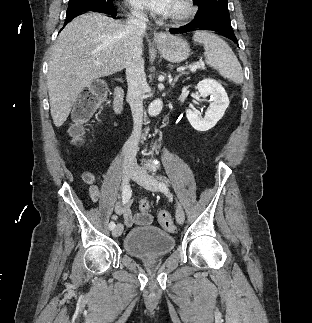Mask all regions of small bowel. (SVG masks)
<instances>
[{
	"mask_svg": "<svg viewBox=\"0 0 312 323\" xmlns=\"http://www.w3.org/2000/svg\"><path fill=\"white\" fill-rule=\"evenodd\" d=\"M84 183L87 184L89 194L92 200L97 201L100 198V188L97 182L96 175L90 171H85L82 174ZM132 202L121 205L118 204L115 207L114 219L118 216H122L124 224L127 227L148 225L152 222V217L149 213H133L131 210Z\"/></svg>",
	"mask_w": 312,
	"mask_h": 323,
	"instance_id": "1",
	"label": "small bowel"
}]
</instances>
